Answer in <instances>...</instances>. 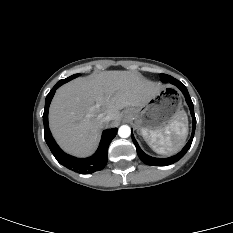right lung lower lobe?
<instances>
[{"instance_id":"obj_1","label":"right lung lower lobe","mask_w":233,"mask_h":233,"mask_svg":"<svg viewBox=\"0 0 233 233\" xmlns=\"http://www.w3.org/2000/svg\"><path fill=\"white\" fill-rule=\"evenodd\" d=\"M64 83H66L65 80H60L52 88V90L46 97L45 109L43 114V123H44V131H45L44 137L52 154L60 164L67 167L68 169L74 170L81 174H86V173L91 174L105 167L108 159V155H107L108 146L111 140L116 136L117 128L108 129L103 132L101 142L97 151L89 158H75L73 156L64 153L59 148L54 138L52 137L48 126V109L50 102L54 96L56 89Z\"/></svg>"}]
</instances>
